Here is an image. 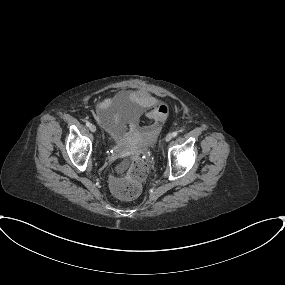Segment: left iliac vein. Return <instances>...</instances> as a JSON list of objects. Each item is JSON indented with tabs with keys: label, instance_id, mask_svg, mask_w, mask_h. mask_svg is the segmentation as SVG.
Returning a JSON list of instances; mask_svg holds the SVG:
<instances>
[{
	"label": "left iliac vein",
	"instance_id": "4c4485c4",
	"mask_svg": "<svg viewBox=\"0 0 285 285\" xmlns=\"http://www.w3.org/2000/svg\"><path fill=\"white\" fill-rule=\"evenodd\" d=\"M172 137H173V136H172L171 133L167 134L166 137H165V141H166V142H169V141L172 139Z\"/></svg>",
	"mask_w": 285,
	"mask_h": 285
}]
</instances>
